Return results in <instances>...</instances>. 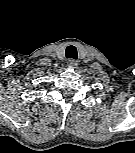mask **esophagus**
<instances>
[{"instance_id":"esophagus-1","label":"esophagus","mask_w":135,"mask_h":153,"mask_svg":"<svg viewBox=\"0 0 135 153\" xmlns=\"http://www.w3.org/2000/svg\"><path fill=\"white\" fill-rule=\"evenodd\" d=\"M67 65H68V67H70V68H76V66H77V61L74 60V59H69L68 62H67Z\"/></svg>"}]
</instances>
